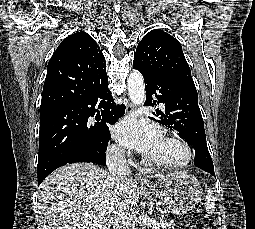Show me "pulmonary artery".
Returning <instances> with one entry per match:
<instances>
[{"label": "pulmonary artery", "instance_id": "1", "mask_svg": "<svg viewBox=\"0 0 255 229\" xmlns=\"http://www.w3.org/2000/svg\"><path fill=\"white\" fill-rule=\"evenodd\" d=\"M161 107H162V108L164 107L163 104H161Z\"/></svg>", "mask_w": 255, "mask_h": 229}]
</instances>
